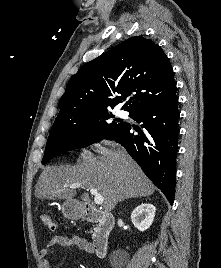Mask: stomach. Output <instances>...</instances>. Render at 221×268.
Masks as SVG:
<instances>
[{"instance_id":"0dacf381","label":"stomach","mask_w":221,"mask_h":268,"mask_svg":"<svg viewBox=\"0 0 221 268\" xmlns=\"http://www.w3.org/2000/svg\"><path fill=\"white\" fill-rule=\"evenodd\" d=\"M61 209L64 217L71 220H78L84 214L83 205L76 200H66Z\"/></svg>"}]
</instances>
